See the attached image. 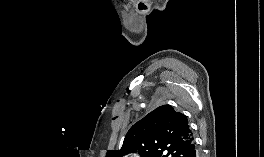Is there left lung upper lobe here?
I'll return each instance as SVG.
<instances>
[{"label": "left lung upper lobe", "mask_w": 264, "mask_h": 157, "mask_svg": "<svg viewBox=\"0 0 264 157\" xmlns=\"http://www.w3.org/2000/svg\"><path fill=\"white\" fill-rule=\"evenodd\" d=\"M187 117L170 105H162L135 123L120 150H108L106 157L138 153L140 157H186L193 143Z\"/></svg>", "instance_id": "left-lung-upper-lobe-1"}]
</instances>
